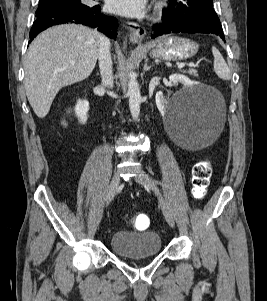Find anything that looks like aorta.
<instances>
[{
    "label": "aorta",
    "instance_id": "obj_1",
    "mask_svg": "<svg viewBox=\"0 0 267 301\" xmlns=\"http://www.w3.org/2000/svg\"><path fill=\"white\" fill-rule=\"evenodd\" d=\"M127 94L129 97V108L131 115L133 119L137 121L140 112L141 94L137 77L134 72L129 73Z\"/></svg>",
    "mask_w": 267,
    "mask_h": 301
}]
</instances>
